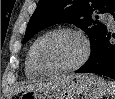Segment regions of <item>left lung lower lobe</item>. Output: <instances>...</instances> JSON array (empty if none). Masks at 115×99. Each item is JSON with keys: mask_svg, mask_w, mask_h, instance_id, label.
Segmentation results:
<instances>
[{"mask_svg": "<svg viewBox=\"0 0 115 99\" xmlns=\"http://www.w3.org/2000/svg\"><path fill=\"white\" fill-rule=\"evenodd\" d=\"M113 16L115 20V14ZM110 37L111 33L106 31L96 49L91 53L87 62L76 71L77 73L90 72L115 79V44L109 42Z\"/></svg>", "mask_w": 115, "mask_h": 99, "instance_id": "obj_1", "label": "left lung lower lobe"}]
</instances>
